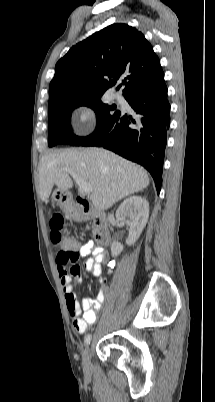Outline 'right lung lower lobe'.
Segmentation results:
<instances>
[{
  "label": "right lung lower lobe",
  "instance_id": "1",
  "mask_svg": "<svg viewBox=\"0 0 215 402\" xmlns=\"http://www.w3.org/2000/svg\"><path fill=\"white\" fill-rule=\"evenodd\" d=\"M126 100L137 117L120 112L104 129L84 138L80 145L104 147L142 165L152 175L159 193L170 126L165 81L157 87L134 91Z\"/></svg>",
  "mask_w": 215,
  "mask_h": 402
}]
</instances>
